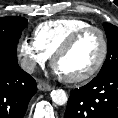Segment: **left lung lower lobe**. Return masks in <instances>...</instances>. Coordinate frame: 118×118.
<instances>
[{
	"instance_id": "left-lung-lower-lobe-1",
	"label": "left lung lower lobe",
	"mask_w": 118,
	"mask_h": 118,
	"mask_svg": "<svg viewBox=\"0 0 118 118\" xmlns=\"http://www.w3.org/2000/svg\"><path fill=\"white\" fill-rule=\"evenodd\" d=\"M65 118H118V70L72 90Z\"/></svg>"
}]
</instances>
